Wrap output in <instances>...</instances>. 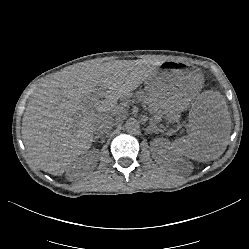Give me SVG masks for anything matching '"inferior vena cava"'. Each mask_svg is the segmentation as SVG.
Listing matches in <instances>:
<instances>
[{
	"mask_svg": "<svg viewBox=\"0 0 249 249\" xmlns=\"http://www.w3.org/2000/svg\"><path fill=\"white\" fill-rule=\"evenodd\" d=\"M113 123V117L105 113L92 125V130L96 133H107L112 129Z\"/></svg>",
	"mask_w": 249,
	"mask_h": 249,
	"instance_id": "602c4592",
	"label": "inferior vena cava"
}]
</instances>
